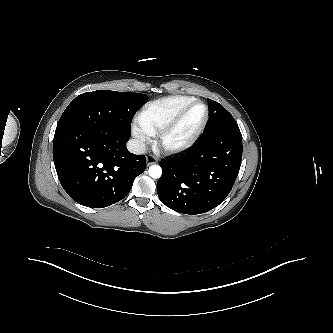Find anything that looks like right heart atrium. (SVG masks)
<instances>
[{
	"label": "right heart atrium",
	"instance_id": "right-heart-atrium-1",
	"mask_svg": "<svg viewBox=\"0 0 333 333\" xmlns=\"http://www.w3.org/2000/svg\"><path fill=\"white\" fill-rule=\"evenodd\" d=\"M132 134L140 144H144L149 137L146 131L138 123L132 125Z\"/></svg>",
	"mask_w": 333,
	"mask_h": 333
}]
</instances>
